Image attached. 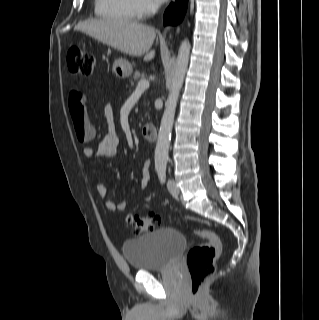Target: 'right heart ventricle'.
<instances>
[{"label": "right heart ventricle", "instance_id": "e07e8e85", "mask_svg": "<svg viewBox=\"0 0 319 320\" xmlns=\"http://www.w3.org/2000/svg\"><path fill=\"white\" fill-rule=\"evenodd\" d=\"M98 17L115 22H132L135 18L131 0H95Z\"/></svg>", "mask_w": 319, "mask_h": 320}]
</instances>
